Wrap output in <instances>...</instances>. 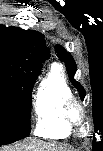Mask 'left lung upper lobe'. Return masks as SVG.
Returning <instances> with one entry per match:
<instances>
[{
	"mask_svg": "<svg viewBox=\"0 0 103 151\" xmlns=\"http://www.w3.org/2000/svg\"><path fill=\"white\" fill-rule=\"evenodd\" d=\"M55 51L57 53V56L59 57V59L63 62H65L66 65V69L68 72V75L70 77V81L72 82V84L78 89L79 94L81 99L84 98L85 96V90L84 88L80 85L79 82H77L74 79V74L76 72V63L74 61V59L71 57V55L60 45H56L55 47Z\"/></svg>",
	"mask_w": 103,
	"mask_h": 151,
	"instance_id": "obj_1",
	"label": "left lung upper lobe"
}]
</instances>
